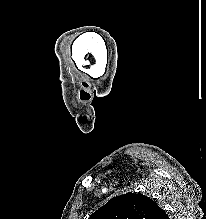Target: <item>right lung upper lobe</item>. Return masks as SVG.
Returning <instances> with one entry per match:
<instances>
[{
	"mask_svg": "<svg viewBox=\"0 0 206 219\" xmlns=\"http://www.w3.org/2000/svg\"><path fill=\"white\" fill-rule=\"evenodd\" d=\"M89 219H169V217L149 197L129 192L110 199Z\"/></svg>",
	"mask_w": 206,
	"mask_h": 219,
	"instance_id": "obj_1",
	"label": "right lung upper lobe"
}]
</instances>
